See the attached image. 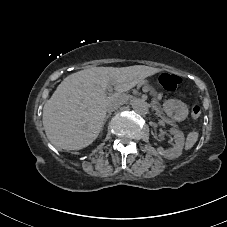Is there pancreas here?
Returning a JSON list of instances; mask_svg holds the SVG:
<instances>
[{
    "label": "pancreas",
    "instance_id": "1",
    "mask_svg": "<svg viewBox=\"0 0 227 227\" xmlns=\"http://www.w3.org/2000/svg\"><path fill=\"white\" fill-rule=\"evenodd\" d=\"M153 107L157 111L158 114L161 113L160 114L161 117L164 118L166 122H168L172 127L175 126L174 124H172L173 122H172V120L170 118L165 117L166 114L164 112H162V110L159 108V105H158L157 102L155 103V105Z\"/></svg>",
    "mask_w": 227,
    "mask_h": 227
}]
</instances>
